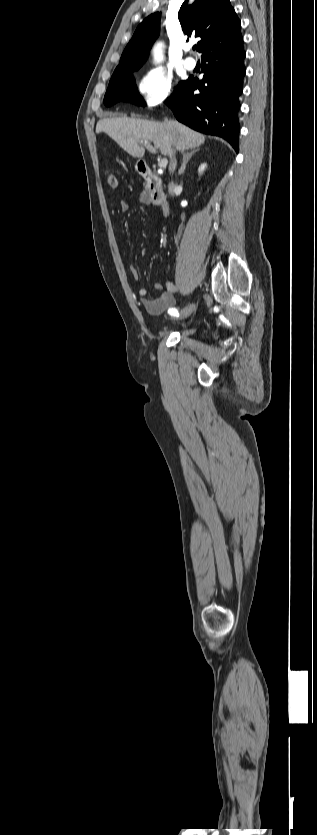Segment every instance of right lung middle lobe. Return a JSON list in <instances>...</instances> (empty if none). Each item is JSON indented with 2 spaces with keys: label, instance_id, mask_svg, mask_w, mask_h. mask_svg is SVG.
<instances>
[{
  "label": "right lung middle lobe",
  "instance_id": "1",
  "mask_svg": "<svg viewBox=\"0 0 317 835\" xmlns=\"http://www.w3.org/2000/svg\"><path fill=\"white\" fill-rule=\"evenodd\" d=\"M134 71L135 69L114 71L104 97V104L106 106L114 105L119 101H126L145 106V102L136 89L135 80L132 76V72ZM185 82L186 81H182L178 85L177 89L183 86Z\"/></svg>",
  "mask_w": 317,
  "mask_h": 835
}]
</instances>
